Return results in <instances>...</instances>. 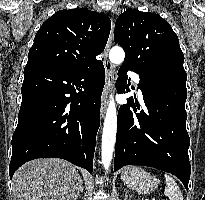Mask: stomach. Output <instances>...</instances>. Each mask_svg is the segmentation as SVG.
Here are the masks:
<instances>
[{"label": "stomach", "mask_w": 205, "mask_h": 200, "mask_svg": "<svg viewBox=\"0 0 205 200\" xmlns=\"http://www.w3.org/2000/svg\"><path fill=\"white\" fill-rule=\"evenodd\" d=\"M127 187L142 194H149L158 187V179L140 167H127L121 176Z\"/></svg>", "instance_id": "stomach-1"}]
</instances>
